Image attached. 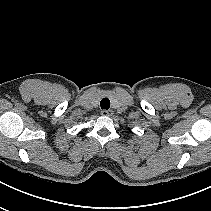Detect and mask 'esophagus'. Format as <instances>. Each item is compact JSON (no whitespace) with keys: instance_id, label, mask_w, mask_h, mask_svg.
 <instances>
[{"instance_id":"esophagus-1","label":"esophagus","mask_w":211,"mask_h":211,"mask_svg":"<svg viewBox=\"0 0 211 211\" xmlns=\"http://www.w3.org/2000/svg\"><path fill=\"white\" fill-rule=\"evenodd\" d=\"M101 115L102 116H112L113 115V110H111V109L103 110V111H101Z\"/></svg>"}]
</instances>
